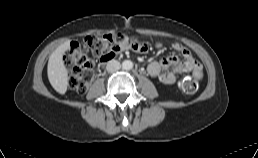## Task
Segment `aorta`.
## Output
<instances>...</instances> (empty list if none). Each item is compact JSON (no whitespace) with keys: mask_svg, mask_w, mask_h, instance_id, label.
<instances>
[{"mask_svg":"<svg viewBox=\"0 0 258 158\" xmlns=\"http://www.w3.org/2000/svg\"><path fill=\"white\" fill-rule=\"evenodd\" d=\"M122 67L125 70H131L133 68V62L130 60H124L122 63Z\"/></svg>","mask_w":258,"mask_h":158,"instance_id":"762f6f07","label":"aorta"}]
</instances>
